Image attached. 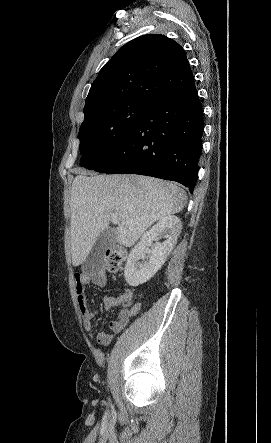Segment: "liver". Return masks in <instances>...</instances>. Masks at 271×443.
<instances>
[{"instance_id":"obj_1","label":"liver","mask_w":271,"mask_h":443,"mask_svg":"<svg viewBox=\"0 0 271 443\" xmlns=\"http://www.w3.org/2000/svg\"><path fill=\"white\" fill-rule=\"evenodd\" d=\"M185 200L177 184L158 178L81 172L73 180L70 198L73 265L85 261L98 235L108 229L111 216L118 220L113 227L117 241L131 247L152 223L181 212Z\"/></svg>"}]
</instances>
